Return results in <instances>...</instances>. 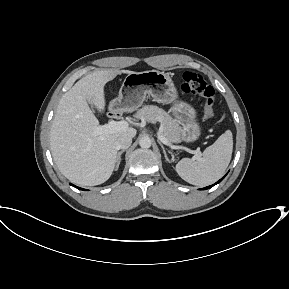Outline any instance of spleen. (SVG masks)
<instances>
[{
  "label": "spleen",
  "instance_id": "spleen-1",
  "mask_svg": "<svg viewBox=\"0 0 289 289\" xmlns=\"http://www.w3.org/2000/svg\"><path fill=\"white\" fill-rule=\"evenodd\" d=\"M233 151V138L230 130L223 133L197 159L184 158L176 165V172L186 182L205 186L217 181L227 169Z\"/></svg>",
  "mask_w": 289,
  "mask_h": 289
}]
</instances>
